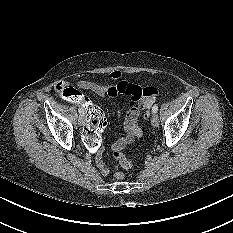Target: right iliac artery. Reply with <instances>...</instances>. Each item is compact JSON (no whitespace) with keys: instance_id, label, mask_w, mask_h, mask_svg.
<instances>
[{"instance_id":"82829eb1","label":"right iliac artery","mask_w":233,"mask_h":233,"mask_svg":"<svg viewBox=\"0 0 233 233\" xmlns=\"http://www.w3.org/2000/svg\"><path fill=\"white\" fill-rule=\"evenodd\" d=\"M78 111H79L80 115H84V110L82 108H79Z\"/></svg>"}]
</instances>
